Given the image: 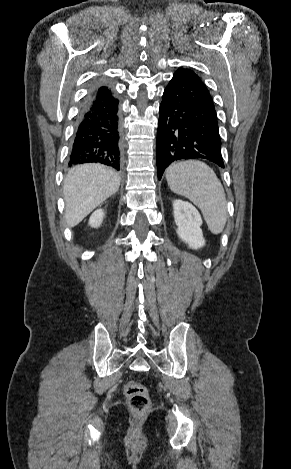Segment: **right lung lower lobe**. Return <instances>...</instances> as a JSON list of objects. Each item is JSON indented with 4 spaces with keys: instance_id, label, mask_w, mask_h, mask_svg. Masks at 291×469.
Segmentation results:
<instances>
[{
    "instance_id": "obj_1",
    "label": "right lung lower lobe",
    "mask_w": 291,
    "mask_h": 469,
    "mask_svg": "<svg viewBox=\"0 0 291 469\" xmlns=\"http://www.w3.org/2000/svg\"><path fill=\"white\" fill-rule=\"evenodd\" d=\"M118 103L108 87L90 88L78 114L69 166L94 162L120 170L122 140Z\"/></svg>"
}]
</instances>
